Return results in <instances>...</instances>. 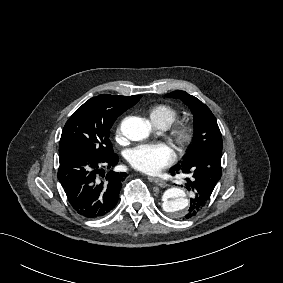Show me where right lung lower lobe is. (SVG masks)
<instances>
[{"mask_svg":"<svg viewBox=\"0 0 283 283\" xmlns=\"http://www.w3.org/2000/svg\"><path fill=\"white\" fill-rule=\"evenodd\" d=\"M118 161L119 157L114 152L103 158L83 149L59 154L57 177L70 205L78 214L94 219L115 208L127 174L112 170L105 174L102 168L113 167Z\"/></svg>","mask_w":283,"mask_h":283,"instance_id":"obj_1","label":"right lung lower lobe"}]
</instances>
